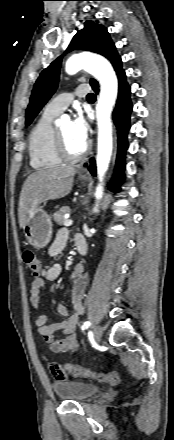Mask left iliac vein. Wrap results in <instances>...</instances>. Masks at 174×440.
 <instances>
[{
    "label": "left iliac vein",
    "mask_w": 174,
    "mask_h": 440,
    "mask_svg": "<svg viewBox=\"0 0 174 440\" xmlns=\"http://www.w3.org/2000/svg\"><path fill=\"white\" fill-rule=\"evenodd\" d=\"M93 333L96 342L99 343L103 335V329L101 328V326H96Z\"/></svg>",
    "instance_id": "1"
}]
</instances>
